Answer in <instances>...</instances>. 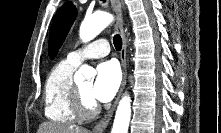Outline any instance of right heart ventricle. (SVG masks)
<instances>
[{
    "label": "right heart ventricle",
    "instance_id": "e07e8e85",
    "mask_svg": "<svg viewBox=\"0 0 221 133\" xmlns=\"http://www.w3.org/2000/svg\"><path fill=\"white\" fill-rule=\"evenodd\" d=\"M78 65L63 60L49 72L44 86V113L54 123L74 124L75 114L71 97L74 87L73 74Z\"/></svg>",
    "mask_w": 221,
    "mask_h": 133
}]
</instances>
